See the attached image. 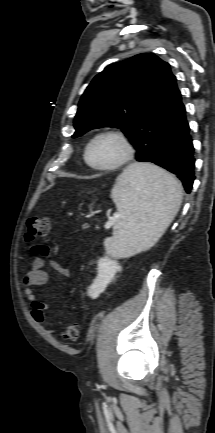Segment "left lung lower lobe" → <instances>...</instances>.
I'll return each mask as SVG.
<instances>
[{
  "label": "left lung lower lobe",
  "instance_id": "0a47b994",
  "mask_svg": "<svg viewBox=\"0 0 215 433\" xmlns=\"http://www.w3.org/2000/svg\"><path fill=\"white\" fill-rule=\"evenodd\" d=\"M189 132L185 107L180 95L159 141L157 154L152 163L175 174L187 193L191 192L195 180L194 147Z\"/></svg>",
  "mask_w": 215,
  "mask_h": 433
}]
</instances>
